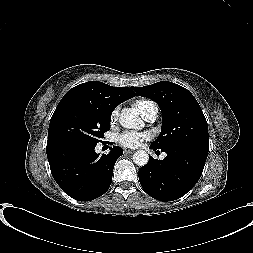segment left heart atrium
I'll list each match as a JSON object with an SVG mask.
<instances>
[{"mask_svg": "<svg viewBox=\"0 0 253 253\" xmlns=\"http://www.w3.org/2000/svg\"><path fill=\"white\" fill-rule=\"evenodd\" d=\"M151 136V133L147 131H125L118 136L117 141L122 146L136 148L141 146L145 141L149 140Z\"/></svg>", "mask_w": 253, "mask_h": 253, "instance_id": "left-heart-atrium-1", "label": "left heart atrium"}]
</instances>
